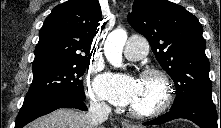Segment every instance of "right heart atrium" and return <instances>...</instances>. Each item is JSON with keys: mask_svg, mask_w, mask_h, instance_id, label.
<instances>
[{"mask_svg": "<svg viewBox=\"0 0 221 128\" xmlns=\"http://www.w3.org/2000/svg\"><path fill=\"white\" fill-rule=\"evenodd\" d=\"M87 95H88V97L90 99V103L93 107H95V108H104L105 107L104 102L101 100V98L95 93V91L91 87H89Z\"/></svg>", "mask_w": 221, "mask_h": 128, "instance_id": "1", "label": "right heart atrium"}]
</instances>
